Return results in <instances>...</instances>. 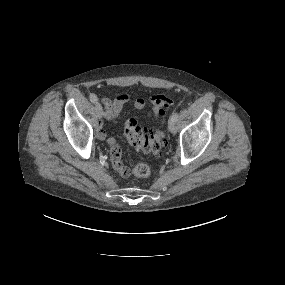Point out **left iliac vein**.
<instances>
[{
  "instance_id": "1",
  "label": "left iliac vein",
  "mask_w": 285,
  "mask_h": 285,
  "mask_svg": "<svg viewBox=\"0 0 285 285\" xmlns=\"http://www.w3.org/2000/svg\"><path fill=\"white\" fill-rule=\"evenodd\" d=\"M168 127L172 133H176V131H177L176 121H174L170 118Z\"/></svg>"
}]
</instances>
